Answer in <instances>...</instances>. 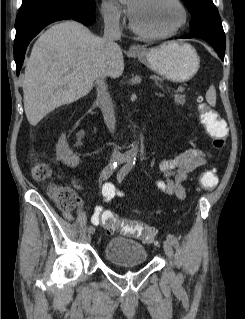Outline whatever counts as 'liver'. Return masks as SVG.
<instances>
[{"label": "liver", "instance_id": "6515ba94", "mask_svg": "<svg viewBox=\"0 0 245 319\" xmlns=\"http://www.w3.org/2000/svg\"><path fill=\"white\" fill-rule=\"evenodd\" d=\"M101 70L111 78L120 77L124 71L121 50L109 55L103 39L76 21L47 29L34 43L25 68L23 102L30 125L87 95Z\"/></svg>", "mask_w": 245, "mask_h": 319}]
</instances>
